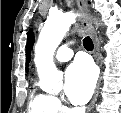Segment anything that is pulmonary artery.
<instances>
[{
  "label": "pulmonary artery",
  "mask_w": 121,
  "mask_h": 113,
  "mask_svg": "<svg viewBox=\"0 0 121 113\" xmlns=\"http://www.w3.org/2000/svg\"><path fill=\"white\" fill-rule=\"evenodd\" d=\"M74 51L69 45H62L58 48L55 59L58 62L69 61L73 57Z\"/></svg>",
  "instance_id": "obj_1"
}]
</instances>
